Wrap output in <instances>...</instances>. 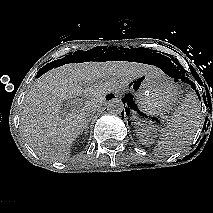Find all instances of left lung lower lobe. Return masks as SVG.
<instances>
[{
  "label": "left lung lower lobe",
  "instance_id": "obj_1",
  "mask_svg": "<svg viewBox=\"0 0 213 213\" xmlns=\"http://www.w3.org/2000/svg\"><path fill=\"white\" fill-rule=\"evenodd\" d=\"M191 87L196 91V93H198L194 84L191 85ZM197 95H198V94H197ZM199 98H200V96H199ZM122 100H123V104H124V103L127 101L126 96H125ZM124 107H125V105H124ZM122 113H123V112H122Z\"/></svg>",
  "mask_w": 213,
  "mask_h": 213
}]
</instances>
